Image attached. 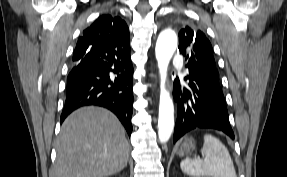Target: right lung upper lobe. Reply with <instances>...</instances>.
Segmentation results:
<instances>
[{"mask_svg":"<svg viewBox=\"0 0 287 177\" xmlns=\"http://www.w3.org/2000/svg\"><path fill=\"white\" fill-rule=\"evenodd\" d=\"M121 38L129 39L127 24L118 16L101 15L91 26L83 31V35L78 39L73 54V62L75 63L85 58L90 44L114 41Z\"/></svg>","mask_w":287,"mask_h":177,"instance_id":"cb5924a9","label":"right lung upper lobe"}]
</instances>
